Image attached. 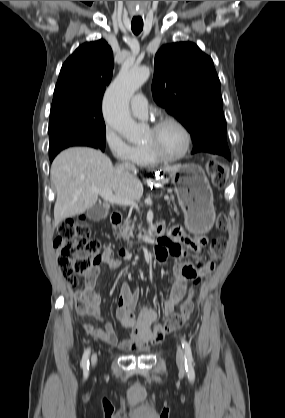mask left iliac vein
<instances>
[{"instance_id": "4c4485c4", "label": "left iliac vein", "mask_w": 285, "mask_h": 418, "mask_svg": "<svg viewBox=\"0 0 285 418\" xmlns=\"http://www.w3.org/2000/svg\"><path fill=\"white\" fill-rule=\"evenodd\" d=\"M176 364L180 371L185 370V355L180 347H178L176 351Z\"/></svg>"}]
</instances>
